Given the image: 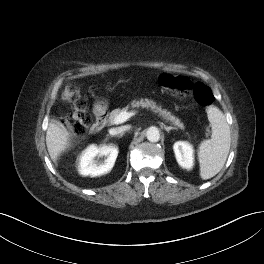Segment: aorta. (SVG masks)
<instances>
[{"mask_svg": "<svg viewBox=\"0 0 264 264\" xmlns=\"http://www.w3.org/2000/svg\"><path fill=\"white\" fill-rule=\"evenodd\" d=\"M146 136H147V139L150 142H158L159 139H160V132H159L158 128H156V127H150L147 130Z\"/></svg>", "mask_w": 264, "mask_h": 264, "instance_id": "obj_1", "label": "aorta"}]
</instances>
